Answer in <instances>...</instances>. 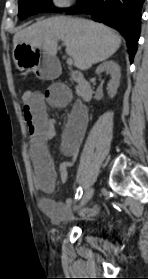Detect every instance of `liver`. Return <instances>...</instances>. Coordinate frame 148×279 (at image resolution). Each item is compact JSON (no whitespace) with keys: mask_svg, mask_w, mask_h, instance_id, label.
I'll use <instances>...</instances> for the list:
<instances>
[{"mask_svg":"<svg viewBox=\"0 0 148 279\" xmlns=\"http://www.w3.org/2000/svg\"><path fill=\"white\" fill-rule=\"evenodd\" d=\"M58 40L80 70L111 57L120 47L121 38L109 27L82 18L52 17L17 32L13 45L26 44L56 57Z\"/></svg>","mask_w":148,"mask_h":279,"instance_id":"1","label":"liver"}]
</instances>
